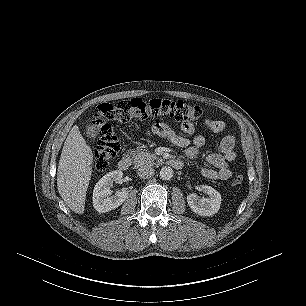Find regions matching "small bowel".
Wrapping results in <instances>:
<instances>
[{
    "mask_svg": "<svg viewBox=\"0 0 306 306\" xmlns=\"http://www.w3.org/2000/svg\"><path fill=\"white\" fill-rule=\"evenodd\" d=\"M204 123L209 131L214 134L222 132L225 128V123L221 120L206 119ZM158 126L161 131L157 135L167 138L175 146L184 148L188 159H195L199 153V148L205 143V138L202 135L195 136L191 141L186 136L176 134L173 129L164 123H158ZM181 130L187 136H191L195 132L194 125L190 123H181ZM234 146L235 138L233 136L223 137L218 144V152L207 156L208 163L214 168L204 167L201 169V174L209 180H228L232 176L228 163L236 157Z\"/></svg>",
    "mask_w": 306,
    "mask_h": 306,
    "instance_id": "c3829d8e",
    "label": "small bowel"
}]
</instances>
